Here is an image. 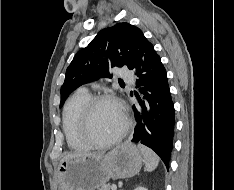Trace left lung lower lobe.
<instances>
[{
  "label": "left lung lower lobe",
  "instance_id": "obj_1",
  "mask_svg": "<svg viewBox=\"0 0 234 190\" xmlns=\"http://www.w3.org/2000/svg\"><path fill=\"white\" fill-rule=\"evenodd\" d=\"M130 70L138 77L134 92L140 105L133 108L137 121L132 142L142 143L154 150L167 169L173 147L175 114L166 70L153 45L146 39ZM131 95H133L131 93Z\"/></svg>",
  "mask_w": 234,
  "mask_h": 190
}]
</instances>
